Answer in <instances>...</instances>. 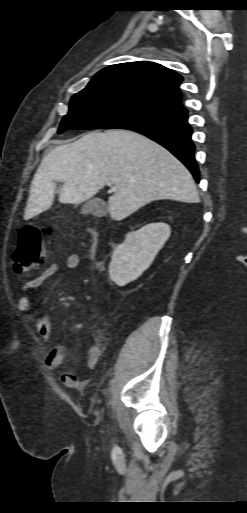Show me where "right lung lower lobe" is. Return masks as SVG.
<instances>
[{
    "instance_id": "98d812e1",
    "label": "right lung lower lobe",
    "mask_w": 247,
    "mask_h": 513,
    "mask_svg": "<svg viewBox=\"0 0 247 513\" xmlns=\"http://www.w3.org/2000/svg\"><path fill=\"white\" fill-rule=\"evenodd\" d=\"M119 129L135 131L156 141L175 155L199 182L195 146L191 140L193 129L188 124V111L184 107L127 123Z\"/></svg>"
}]
</instances>
